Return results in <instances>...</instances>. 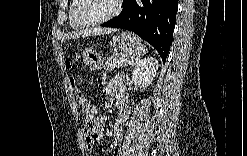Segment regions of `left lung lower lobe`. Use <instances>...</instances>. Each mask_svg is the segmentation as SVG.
Returning a JSON list of instances; mask_svg holds the SVG:
<instances>
[{"instance_id": "obj_1", "label": "left lung lower lobe", "mask_w": 247, "mask_h": 156, "mask_svg": "<svg viewBox=\"0 0 247 156\" xmlns=\"http://www.w3.org/2000/svg\"><path fill=\"white\" fill-rule=\"evenodd\" d=\"M178 0H123L118 17L103 23L132 31L149 42L166 61L173 39Z\"/></svg>"}]
</instances>
